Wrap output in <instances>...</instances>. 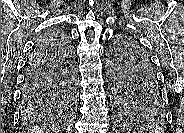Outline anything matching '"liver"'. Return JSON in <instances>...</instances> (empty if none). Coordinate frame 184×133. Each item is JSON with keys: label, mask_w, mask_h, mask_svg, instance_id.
I'll return each mask as SVG.
<instances>
[{"label": "liver", "mask_w": 184, "mask_h": 133, "mask_svg": "<svg viewBox=\"0 0 184 133\" xmlns=\"http://www.w3.org/2000/svg\"><path fill=\"white\" fill-rule=\"evenodd\" d=\"M56 129H54V128H51V130L50 129H48V128H46L45 126H38V127H35L32 131H34V133H49V131H55Z\"/></svg>", "instance_id": "liver-1"}]
</instances>
